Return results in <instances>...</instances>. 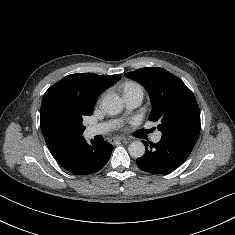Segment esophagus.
<instances>
[{"label":"esophagus","mask_w":235,"mask_h":235,"mask_svg":"<svg viewBox=\"0 0 235 235\" xmlns=\"http://www.w3.org/2000/svg\"><path fill=\"white\" fill-rule=\"evenodd\" d=\"M120 141H127V138L125 137H113L110 139L111 144H117Z\"/></svg>","instance_id":"34e87169"}]
</instances>
